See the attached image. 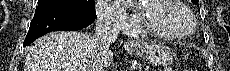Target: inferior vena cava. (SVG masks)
I'll use <instances>...</instances> for the list:
<instances>
[{
    "label": "inferior vena cava",
    "mask_w": 230,
    "mask_h": 71,
    "mask_svg": "<svg viewBox=\"0 0 230 71\" xmlns=\"http://www.w3.org/2000/svg\"><path fill=\"white\" fill-rule=\"evenodd\" d=\"M119 32L120 27L108 14L99 13L92 44L96 49H109L110 44L116 41ZM93 71H102V69H93Z\"/></svg>",
    "instance_id": "1"
}]
</instances>
